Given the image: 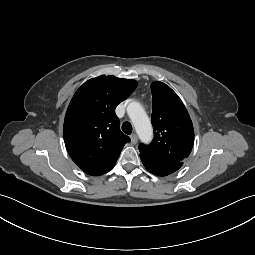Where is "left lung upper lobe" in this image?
Returning a JSON list of instances; mask_svg holds the SVG:
<instances>
[{
	"label": "left lung upper lobe",
	"mask_w": 255,
	"mask_h": 255,
	"mask_svg": "<svg viewBox=\"0 0 255 255\" xmlns=\"http://www.w3.org/2000/svg\"><path fill=\"white\" fill-rule=\"evenodd\" d=\"M153 141L140 144L141 160L160 167L182 165L194 144L190 116L178 95L166 84L151 85Z\"/></svg>",
	"instance_id": "obj_1"
}]
</instances>
